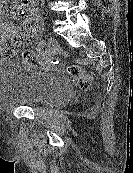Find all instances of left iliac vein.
<instances>
[{
    "label": "left iliac vein",
    "instance_id": "4c4485c4",
    "mask_svg": "<svg viewBox=\"0 0 133 173\" xmlns=\"http://www.w3.org/2000/svg\"><path fill=\"white\" fill-rule=\"evenodd\" d=\"M47 47H48L49 52L51 54H55L58 51L59 44L53 36L49 37L48 42H47Z\"/></svg>",
    "mask_w": 133,
    "mask_h": 173
}]
</instances>
